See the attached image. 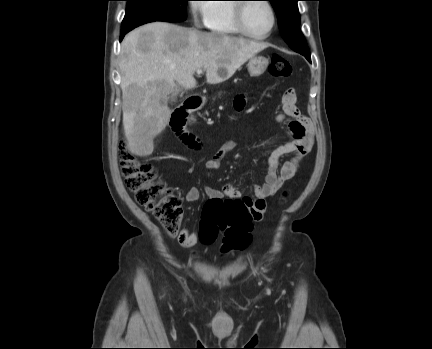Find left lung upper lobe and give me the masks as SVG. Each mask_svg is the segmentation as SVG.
Masks as SVG:
<instances>
[{
    "mask_svg": "<svg viewBox=\"0 0 432 349\" xmlns=\"http://www.w3.org/2000/svg\"><path fill=\"white\" fill-rule=\"evenodd\" d=\"M268 1H270L275 9L281 36L289 47L300 53H309L305 38L299 29L300 14L297 6L298 0Z\"/></svg>",
    "mask_w": 432,
    "mask_h": 349,
    "instance_id": "5c2ea615",
    "label": "left lung upper lobe"
}]
</instances>
